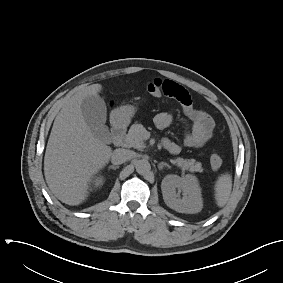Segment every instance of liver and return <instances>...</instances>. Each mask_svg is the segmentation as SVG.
<instances>
[{
	"label": "liver",
	"mask_w": 283,
	"mask_h": 283,
	"mask_svg": "<svg viewBox=\"0 0 283 283\" xmlns=\"http://www.w3.org/2000/svg\"><path fill=\"white\" fill-rule=\"evenodd\" d=\"M101 90V84H93L65 100L49 136L45 180L54 196L68 205H79L88 197L91 179L112 155L111 147L94 136L81 110L83 99Z\"/></svg>",
	"instance_id": "1"
}]
</instances>
